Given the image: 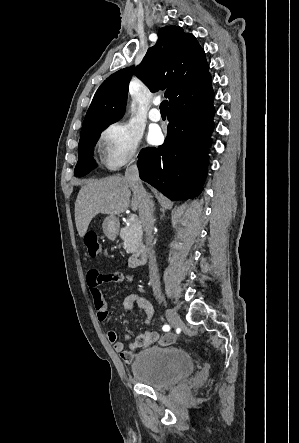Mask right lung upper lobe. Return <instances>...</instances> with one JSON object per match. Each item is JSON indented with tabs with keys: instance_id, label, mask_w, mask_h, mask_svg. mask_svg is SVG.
I'll list each match as a JSON object with an SVG mask.
<instances>
[{
	"instance_id": "obj_1",
	"label": "right lung upper lobe",
	"mask_w": 299,
	"mask_h": 443,
	"mask_svg": "<svg viewBox=\"0 0 299 443\" xmlns=\"http://www.w3.org/2000/svg\"><path fill=\"white\" fill-rule=\"evenodd\" d=\"M208 69L204 50L192 34L184 33L178 26L162 28L156 44L148 49L140 65L115 72L98 88L87 111L81 136L123 116L133 73L151 92L167 88L165 97L170 104L178 95L199 83L208 74Z\"/></svg>"
}]
</instances>
